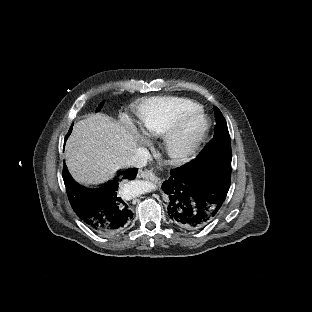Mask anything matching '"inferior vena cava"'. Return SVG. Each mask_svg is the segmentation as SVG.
<instances>
[{"instance_id": "1", "label": "inferior vena cava", "mask_w": 312, "mask_h": 312, "mask_svg": "<svg viewBox=\"0 0 312 312\" xmlns=\"http://www.w3.org/2000/svg\"><path fill=\"white\" fill-rule=\"evenodd\" d=\"M151 160L150 153L143 148H137L136 152L124 161L128 167L143 168Z\"/></svg>"}]
</instances>
